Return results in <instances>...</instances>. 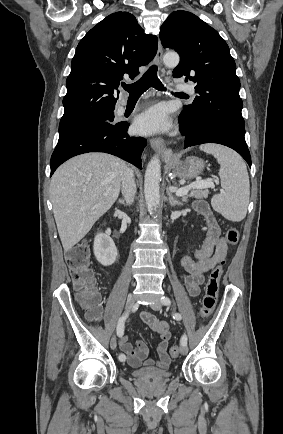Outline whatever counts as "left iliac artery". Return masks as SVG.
I'll return each instance as SVG.
<instances>
[{
	"instance_id": "obj_1",
	"label": "left iliac artery",
	"mask_w": 283,
	"mask_h": 434,
	"mask_svg": "<svg viewBox=\"0 0 283 434\" xmlns=\"http://www.w3.org/2000/svg\"><path fill=\"white\" fill-rule=\"evenodd\" d=\"M161 302L165 306H168V305L171 304V301H170V299L168 297H162L161 298ZM173 318L176 319V320H181L182 316L179 313H175L173 315ZM181 344L182 345H187V336L185 334L181 338Z\"/></svg>"
}]
</instances>
